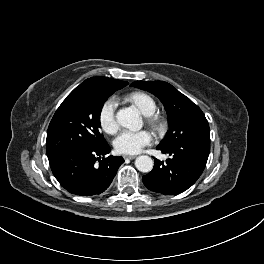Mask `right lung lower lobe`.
<instances>
[{
    "instance_id": "1",
    "label": "right lung lower lobe",
    "mask_w": 264,
    "mask_h": 264,
    "mask_svg": "<svg viewBox=\"0 0 264 264\" xmlns=\"http://www.w3.org/2000/svg\"><path fill=\"white\" fill-rule=\"evenodd\" d=\"M108 144L99 148L76 146L48 156L53 175L70 193L91 196L104 192L111 184L122 157L108 156Z\"/></svg>"
}]
</instances>
